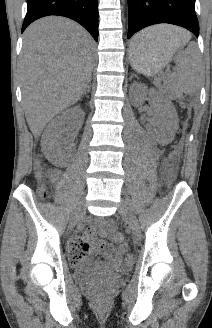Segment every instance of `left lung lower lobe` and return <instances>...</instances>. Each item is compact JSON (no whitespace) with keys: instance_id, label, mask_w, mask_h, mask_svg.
Returning a JSON list of instances; mask_svg holds the SVG:
<instances>
[{"instance_id":"1","label":"left lung lower lobe","mask_w":212,"mask_h":328,"mask_svg":"<svg viewBox=\"0 0 212 328\" xmlns=\"http://www.w3.org/2000/svg\"><path fill=\"white\" fill-rule=\"evenodd\" d=\"M194 6L195 0H128V39L141 29L159 23L184 27L198 37ZM139 45L132 43L134 49Z\"/></svg>"}]
</instances>
